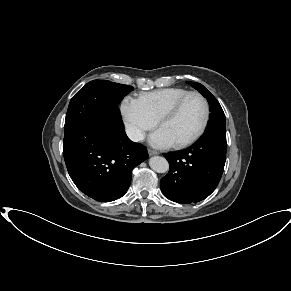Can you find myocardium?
Segmentation results:
<instances>
[{
	"mask_svg": "<svg viewBox=\"0 0 291 291\" xmlns=\"http://www.w3.org/2000/svg\"><path fill=\"white\" fill-rule=\"evenodd\" d=\"M192 96H197L203 101L204 106H205L204 119H203V122H202L200 128L198 129V131L193 136H191L187 140L172 144L173 147H175L177 149L186 148V147L194 144L204 134V132L206 131L208 123H209V120H210V105H209L208 100L202 94H200L199 92H189L186 95H184L182 98H180L176 103H174L157 120V126L160 128V126L165 121H168V120L174 118L178 114V112L180 111L181 107L186 102V100L188 98L192 97Z\"/></svg>",
	"mask_w": 291,
	"mask_h": 291,
	"instance_id": "obj_1",
	"label": "myocardium"
}]
</instances>
